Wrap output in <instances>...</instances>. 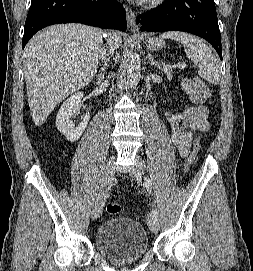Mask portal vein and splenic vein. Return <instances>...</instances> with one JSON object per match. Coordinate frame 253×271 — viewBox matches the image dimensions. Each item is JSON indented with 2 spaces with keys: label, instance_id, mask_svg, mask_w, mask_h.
Instances as JSON below:
<instances>
[{
  "label": "portal vein and splenic vein",
  "instance_id": "obj_1",
  "mask_svg": "<svg viewBox=\"0 0 253 271\" xmlns=\"http://www.w3.org/2000/svg\"><path fill=\"white\" fill-rule=\"evenodd\" d=\"M185 64L184 63H182V64H179V65H177V68H180V69H182V68H185ZM173 67H176V66H173Z\"/></svg>",
  "mask_w": 253,
  "mask_h": 271
}]
</instances>
